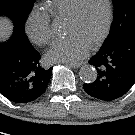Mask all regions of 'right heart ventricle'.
Here are the masks:
<instances>
[{
  "instance_id": "obj_1",
  "label": "right heart ventricle",
  "mask_w": 135,
  "mask_h": 135,
  "mask_svg": "<svg viewBox=\"0 0 135 135\" xmlns=\"http://www.w3.org/2000/svg\"><path fill=\"white\" fill-rule=\"evenodd\" d=\"M77 0H48L45 11L55 19H66Z\"/></svg>"
}]
</instances>
